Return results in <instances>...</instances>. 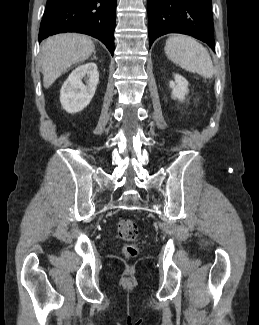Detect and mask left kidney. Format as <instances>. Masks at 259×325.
<instances>
[{"instance_id": "5707ae66", "label": "left kidney", "mask_w": 259, "mask_h": 325, "mask_svg": "<svg viewBox=\"0 0 259 325\" xmlns=\"http://www.w3.org/2000/svg\"><path fill=\"white\" fill-rule=\"evenodd\" d=\"M175 81H171L169 86L172 89V97L183 101L185 95L188 93V82L180 75H174Z\"/></svg>"}]
</instances>
